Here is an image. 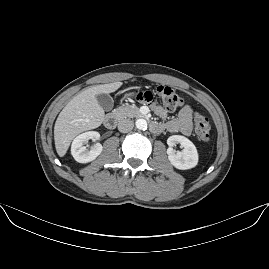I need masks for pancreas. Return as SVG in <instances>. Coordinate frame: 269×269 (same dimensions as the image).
Instances as JSON below:
<instances>
[{
    "label": "pancreas",
    "mask_w": 269,
    "mask_h": 269,
    "mask_svg": "<svg viewBox=\"0 0 269 269\" xmlns=\"http://www.w3.org/2000/svg\"><path fill=\"white\" fill-rule=\"evenodd\" d=\"M112 114L118 120L123 118H134L142 116L139 108L131 105H121L120 107L113 110Z\"/></svg>",
    "instance_id": "pancreas-1"
}]
</instances>
